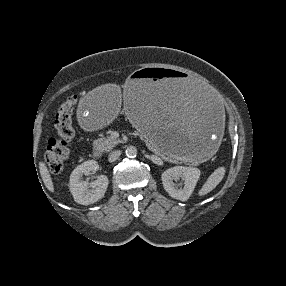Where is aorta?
Instances as JSON below:
<instances>
[{"mask_svg": "<svg viewBox=\"0 0 286 286\" xmlns=\"http://www.w3.org/2000/svg\"><path fill=\"white\" fill-rule=\"evenodd\" d=\"M126 156L127 157H131V158H133V157H136V155H137V149H136V147L135 146H128L127 148H126Z\"/></svg>", "mask_w": 286, "mask_h": 286, "instance_id": "obj_1", "label": "aorta"}]
</instances>
